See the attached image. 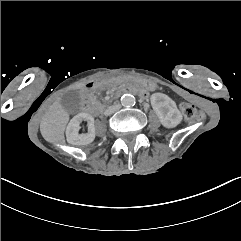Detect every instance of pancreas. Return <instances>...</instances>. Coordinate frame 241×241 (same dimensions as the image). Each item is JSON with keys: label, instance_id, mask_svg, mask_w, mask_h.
I'll list each match as a JSON object with an SVG mask.
<instances>
[{"label": "pancreas", "instance_id": "cf45deb5", "mask_svg": "<svg viewBox=\"0 0 241 241\" xmlns=\"http://www.w3.org/2000/svg\"><path fill=\"white\" fill-rule=\"evenodd\" d=\"M90 100H91L92 105L94 107H96V105H97L96 104V102H97L96 99L94 97H91ZM106 106H107L106 103H98V108H99L100 111L104 110L106 108Z\"/></svg>", "mask_w": 241, "mask_h": 241}]
</instances>
